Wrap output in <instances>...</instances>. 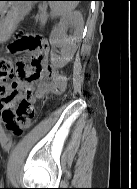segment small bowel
<instances>
[{
  "mask_svg": "<svg viewBox=\"0 0 137 189\" xmlns=\"http://www.w3.org/2000/svg\"><path fill=\"white\" fill-rule=\"evenodd\" d=\"M47 67H44V70ZM65 78L52 68L49 80L40 86L33 87L23 80H17L7 89L6 95L0 99V115L6 128L14 135H19L23 128L30 125L32 115L17 117L16 105L24 100L33 104L38 96L45 94L48 90H60L65 86ZM19 106V105H18Z\"/></svg>",
  "mask_w": 137,
  "mask_h": 189,
  "instance_id": "obj_1",
  "label": "small bowel"
}]
</instances>
